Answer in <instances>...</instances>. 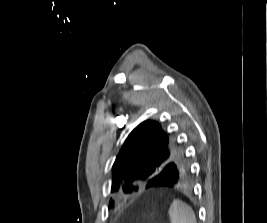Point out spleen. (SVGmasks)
Wrapping results in <instances>:
<instances>
[{
  "instance_id": "obj_1",
  "label": "spleen",
  "mask_w": 267,
  "mask_h": 223,
  "mask_svg": "<svg viewBox=\"0 0 267 223\" xmlns=\"http://www.w3.org/2000/svg\"><path fill=\"white\" fill-rule=\"evenodd\" d=\"M168 213L171 223H197L192 208L181 200H174Z\"/></svg>"
}]
</instances>
